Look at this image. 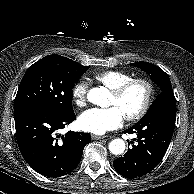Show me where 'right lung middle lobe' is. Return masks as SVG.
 I'll list each match as a JSON object with an SVG mask.
<instances>
[{
  "instance_id": "right-lung-middle-lobe-1",
  "label": "right lung middle lobe",
  "mask_w": 194,
  "mask_h": 194,
  "mask_svg": "<svg viewBox=\"0 0 194 194\" xmlns=\"http://www.w3.org/2000/svg\"><path fill=\"white\" fill-rule=\"evenodd\" d=\"M88 68L60 55L42 58L23 76L14 109L35 105L57 113L73 110L72 89Z\"/></svg>"
}]
</instances>
